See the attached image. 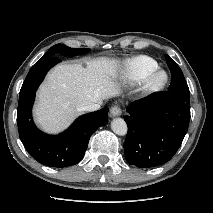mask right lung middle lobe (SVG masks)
I'll use <instances>...</instances> for the list:
<instances>
[{
  "instance_id": "1",
  "label": "right lung middle lobe",
  "mask_w": 213,
  "mask_h": 213,
  "mask_svg": "<svg viewBox=\"0 0 213 213\" xmlns=\"http://www.w3.org/2000/svg\"><path fill=\"white\" fill-rule=\"evenodd\" d=\"M88 50V48H70L63 44H56L52 46L40 60L47 59L49 57H54L58 53H61L66 56L82 55L88 52Z\"/></svg>"
}]
</instances>
